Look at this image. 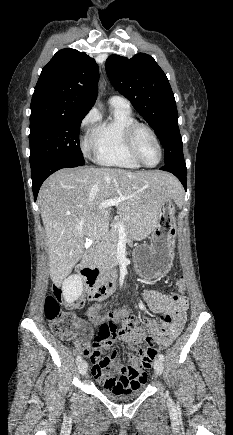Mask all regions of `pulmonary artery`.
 <instances>
[{"instance_id":"1","label":"pulmonary artery","mask_w":233,"mask_h":435,"mask_svg":"<svg viewBox=\"0 0 233 435\" xmlns=\"http://www.w3.org/2000/svg\"><path fill=\"white\" fill-rule=\"evenodd\" d=\"M110 103H111V105H114V106H119L122 108H129L130 109V101L127 98L120 96V95H113L110 98Z\"/></svg>"}]
</instances>
